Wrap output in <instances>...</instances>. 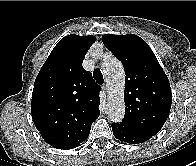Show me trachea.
I'll return each mask as SVG.
<instances>
[{
    "label": "trachea",
    "instance_id": "1",
    "mask_svg": "<svg viewBox=\"0 0 196 166\" xmlns=\"http://www.w3.org/2000/svg\"><path fill=\"white\" fill-rule=\"evenodd\" d=\"M93 77L99 84L104 83L103 75L102 72L99 69H95L93 72Z\"/></svg>",
    "mask_w": 196,
    "mask_h": 166
}]
</instances>
